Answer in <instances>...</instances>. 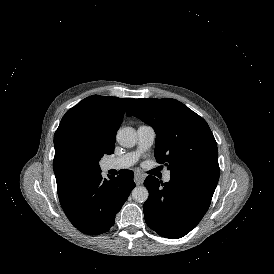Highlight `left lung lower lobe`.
Instances as JSON below:
<instances>
[{"instance_id": "1", "label": "left lung lower lobe", "mask_w": 274, "mask_h": 274, "mask_svg": "<svg viewBox=\"0 0 274 274\" xmlns=\"http://www.w3.org/2000/svg\"><path fill=\"white\" fill-rule=\"evenodd\" d=\"M171 176L162 183L154 176L144 181L149 197L144 203L147 225L159 235L178 239L189 233L208 210L217 182Z\"/></svg>"}]
</instances>
